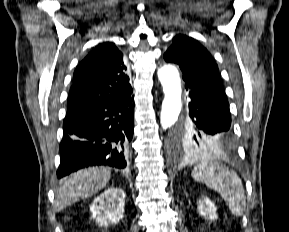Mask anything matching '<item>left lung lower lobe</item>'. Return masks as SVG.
Listing matches in <instances>:
<instances>
[{
	"mask_svg": "<svg viewBox=\"0 0 289 232\" xmlns=\"http://www.w3.org/2000/svg\"><path fill=\"white\" fill-rule=\"evenodd\" d=\"M189 90L190 128L203 141L212 145L209 150L225 154L235 152V137L231 127L229 103L223 87L201 78L183 74Z\"/></svg>",
	"mask_w": 289,
	"mask_h": 232,
	"instance_id": "0a47b994",
	"label": "left lung lower lobe"
}]
</instances>
